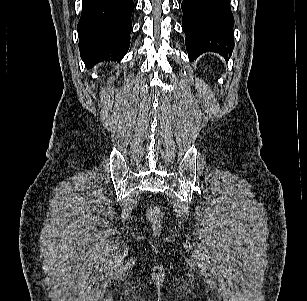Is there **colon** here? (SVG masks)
<instances>
[{"mask_svg":"<svg viewBox=\"0 0 307 301\" xmlns=\"http://www.w3.org/2000/svg\"><path fill=\"white\" fill-rule=\"evenodd\" d=\"M150 217L154 220L158 219L159 217V214L156 210H152L151 213H150Z\"/></svg>","mask_w":307,"mask_h":301,"instance_id":"5ec220e1","label":"colon"}]
</instances>
